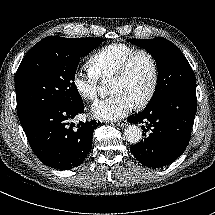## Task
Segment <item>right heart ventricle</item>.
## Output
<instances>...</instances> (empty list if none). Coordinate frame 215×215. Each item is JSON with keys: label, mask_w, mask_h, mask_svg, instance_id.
I'll return each instance as SVG.
<instances>
[{"label": "right heart ventricle", "mask_w": 215, "mask_h": 215, "mask_svg": "<svg viewBox=\"0 0 215 215\" xmlns=\"http://www.w3.org/2000/svg\"><path fill=\"white\" fill-rule=\"evenodd\" d=\"M134 50V46L124 42L110 43L94 52L87 59L85 66L89 74L97 79L108 78L120 61Z\"/></svg>", "instance_id": "e07e8e85"}]
</instances>
